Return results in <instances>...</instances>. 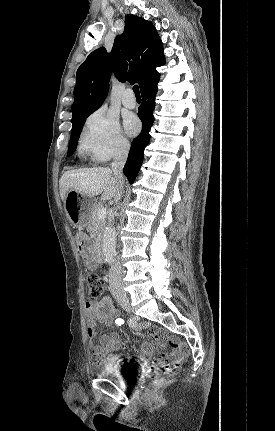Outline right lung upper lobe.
Instances as JSON below:
<instances>
[{
	"mask_svg": "<svg viewBox=\"0 0 275 431\" xmlns=\"http://www.w3.org/2000/svg\"><path fill=\"white\" fill-rule=\"evenodd\" d=\"M165 63L162 42L151 22L128 14L125 28L117 36L112 52L99 48L90 53L76 73L72 125L86 119L103 103L113 71L119 81L134 82L143 92L159 80L156 67Z\"/></svg>",
	"mask_w": 275,
	"mask_h": 431,
	"instance_id": "cb5924a9",
	"label": "right lung upper lobe"
}]
</instances>
